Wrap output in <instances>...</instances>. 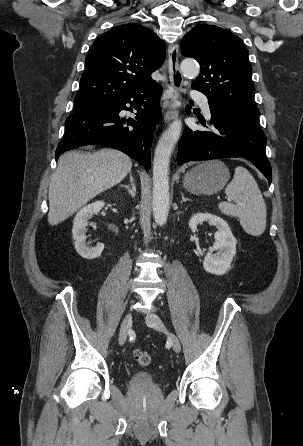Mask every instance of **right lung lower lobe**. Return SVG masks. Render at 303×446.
Listing matches in <instances>:
<instances>
[{
	"label": "right lung lower lobe",
	"mask_w": 303,
	"mask_h": 446,
	"mask_svg": "<svg viewBox=\"0 0 303 446\" xmlns=\"http://www.w3.org/2000/svg\"><path fill=\"white\" fill-rule=\"evenodd\" d=\"M159 84L134 92L107 103L75 110L65 122V135L60 141L55 158L65 151L89 144H102L120 150L146 169L150 168V146L156 123L162 112ZM137 110L135 118H121L122 110Z\"/></svg>",
	"instance_id": "obj_1"
}]
</instances>
